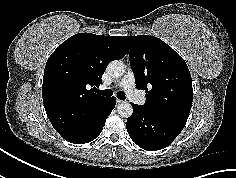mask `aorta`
<instances>
[{"label": "aorta", "instance_id": "1", "mask_svg": "<svg viewBox=\"0 0 236 178\" xmlns=\"http://www.w3.org/2000/svg\"><path fill=\"white\" fill-rule=\"evenodd\" d=\"M113 77H120L124 73V64L120 60H114L107 67ZM118 114L123 118H129L133 114V106L128 102H122L117 106Z\"/></svg>", "mask_w": 236, "mask_h": 178}]
</instances>
